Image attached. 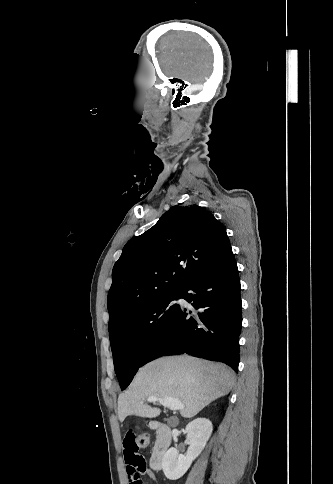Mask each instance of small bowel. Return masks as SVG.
Segmentation results:
<instances>
[{
  "label": "small bowel",
  "mask_w": 333,
  "mask_h": 484,
  "mask_svg": "<svg viewBox=\"0 0 333 484\" xmlns=\"http://www.w3.org/2000/svg\"><path fill=\"white\" fill-rule=\"evenodd\" d=\"M139 449L134 434L130 430L127 431L123 440V451L129 484H143L142 476L155 478L152 470L147 467L144 457L139 453Z\"/></svg>",
  "instance_id": "obj_1"
}]
</instances>
